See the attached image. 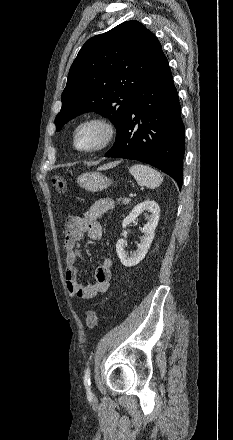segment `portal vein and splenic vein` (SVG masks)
I'll list each match as a JSON object with an SVG mask.
<instances>
[{"instance_id":"1","label":"portal vein and splenic vein","mask_w":233,"mask_h":440,"mask_svg":"<svg viewBox=\"0 0 233 440\" xmlns=\"http://www.w3.org/2000/svg\"><path fill=\"white\" fill-rule=\"evenodd\" d=\"M130 197H133L134 196V194L133 193H131L130 195H129Z\"/></svg>"}]
</instances>
